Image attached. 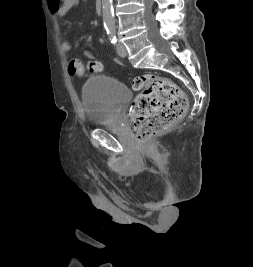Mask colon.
I'll return each mask as SVG.
<instances>
[{
	"label": "colon",
	"mask_w": 253,
	"mask_h": 267,
	"mask_svg": "<svg viewBox=\"0 0 253 267\" xmlns=\"http://www.w3.org/2000/svg\"><path fill=\"white\" fill-rule=\"evenodd\" d=\"M88 59L84 64L79 59L69 62V73L82 76L85 67L99 73L102 65L93 59L89 50L84 51ZM132 88L140 91L132 102L128 116L133 136L146 144L152 137L162 133L186 112L188 100L184 92L169 79L158 75H141L132 81Z\"/></svg>",
	"instance_id": "obj_1"
}]
</instances>
